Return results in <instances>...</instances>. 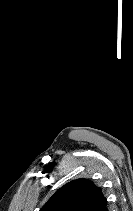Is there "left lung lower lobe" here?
I'll use <instances>...</instances> for the list:
<instances>
[{
    "mask_svg": "<svg viewBox=\"0 0 133 211\" xmlns=\"http://www.w3.org/2000/svg\"><path fill=\"white\" fill-rule=\"evenodd\" d=\"M97 211H108L107 203L105 202L102 206H100Z\"/></svg>",
    "mask_w": 133,
    "mask_h": 211,
    "instance_id": "1",
    "label": "left lung lower lobe"
}]
</instances>
